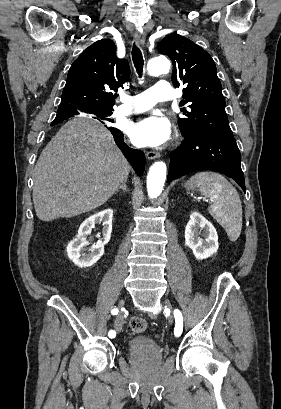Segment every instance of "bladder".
I'll return each mask as SVG.
<instances>
[{"mask_svg":"<svg viewBox=\"0 0 281 409\" xmlns=\"http://www.w3.org/2000/svg\"><path fill=\"white\" fill-rule=\"evenodd\" d=\"M126 351L131 355H161V342L146 335H137L129 339Z\"/></svg>","mask_w":281,"mask_h":409,"instance_id":"1","label":"bladder"}]
</instances>
